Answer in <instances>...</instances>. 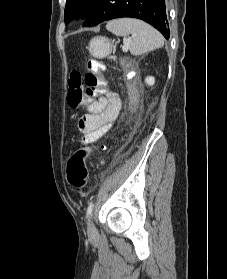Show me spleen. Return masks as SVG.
<instances>
[{"mask_svg":"<svg viewBox=\"0 0 227 279\" xmlns=\"http://www.w3.org/2000/svg\"><path fill=\"white\" fill-rule=\"evenodd\" d=\"M106 29L117 36L131 35L129 50L133 55H141L164 45V38L156 29L137 19H115L107 23Z\"/></svg>","mask_w":227,"mask_h":279,"instance_id":"1","label":"spleen"}]
</instances>
